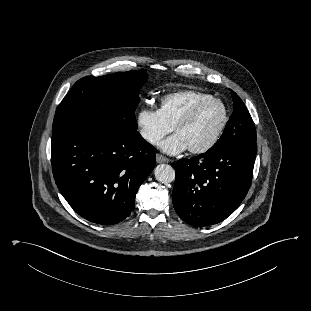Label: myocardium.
Listing matches in <instances>:
<instances>
[{"label":"myocardium","mask_w":311,"mask_h":311,"mask_svg":"<svg viewBox=\"0 0 311 311\" xmlns=\"http://www.w3.org/2000/svg\"><path fill=\"white\" fill-rule=\"evenodd\" d=\"M210 102H216L222 107V119L220 121L219 126L217 127L216 131L212 135V137L206 142L204 145L200 147L195 148H188V150L193 154H202L207 151H209L211 148L215 146V144L220 139L226 125L228 122V110L226 105L223 103L222 100L216 97H208L206 99H203L196 104H194L181 118L180 120L175 124L174 131L177 132L182 127L186 126L188 123L191 122V120L195 117V115L198 113V111L205 106L206 104Z\"/></svg>","instance_id":"myocardium-1"}]
</instances>
